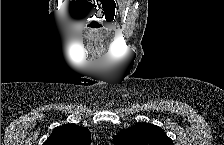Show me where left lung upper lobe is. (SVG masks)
Here are the masks:
<instances>
[{
  "instance_id": "1",
  "label": "left lung upper lobe",
  "mask_w": 224,
  "mask_h": 145,
  "mask_svg": "<svg viewBox=\"0 0 224 145\" xmlns=\"http://www.w3.org/2000/svg\"><path fill=\"white\" fill-rule=\"evenodd\" d=\"M116 145H173L172 140L158 127L139 123L115 136Z\"/></svg>"
}]
</instances>
